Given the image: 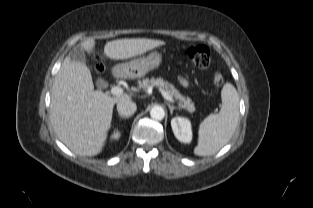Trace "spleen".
<instances>
[{"mask_svg":"<svg viewBox=\"0 0 313 208\" xmlns=\"http://www.w3.org/2000/svg\"><path fill=\"white\" fill-rule=\"evenodd\" d=\"M222 106L218 114H210L199 126L197 156L215 154L232 138L239 119V96L231 83H225L222 91Z\"/></svg>","mask_w":313,"mask_h":208,"instance_id":"obj_1","label":"spleen"}]
</instances>
